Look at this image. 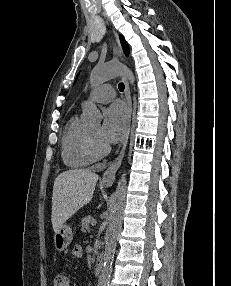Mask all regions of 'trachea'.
Here are the masks:
<instances>
[{"label": "trachea", "mask_w": 231, "mask_h": 286, "mask_svg": "<svg viewBox=\"0 0 231 286\" xmlns=\"http://www.w3.org/2000/svg\"><path fill=\"white\" fill-rule=\"evenodd\" d=\"M118 88L121 92H123L124 91V83H119Z\"/></svg>", "instance_id": "obj_1"}]
</instances>
